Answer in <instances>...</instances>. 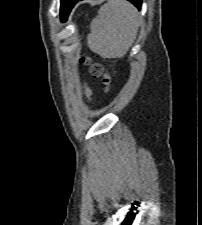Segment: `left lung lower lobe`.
Here are the masks:
<instances>
[{"instance_id":"left-lung-lower-lobe-1","label":"left lung lower lobe","mask_w":202,"mask_h":225,"mask_svg":"<svg viewBox=\"0 0 202 225\" xmlns=\"http://www.w3.org/2000/svg\"><path fill=\"white\" fill-rule=\"evenodd\" d=\"M130 1L132 4H134L138 9H140L142 1L141 0H128ZM78 2V0L75 2V4ZM74 4V5H75Z\"/></svg>"}]
</instances>
